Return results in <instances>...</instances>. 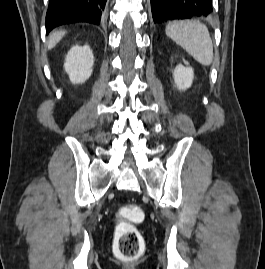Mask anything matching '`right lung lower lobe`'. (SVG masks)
Wrapping results in <instances>:
<instances>
[{
  "mask_svg": "<svg viewBox=\"0 0 265 269\" xmlns=\"http://www.w3.org/2000/svg\"><path fill=\"white\" fill-rule=\"evenodd\" d=\"M107 0H49L46 30L73 22L100 23Z\"/></svg>",
  "mask_w": 265,
  "mask_h": 269,
  "instance_id": "1",
  "label": "right lung lower lobe"
}]
</instances>
